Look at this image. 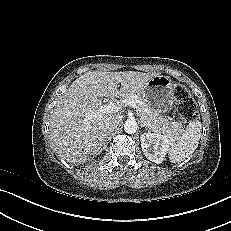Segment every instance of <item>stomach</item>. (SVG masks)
Here are the masks:
<instances>
[{
    "label": "stomach",
    "mask_w": 231,
    "mask_h": 231,
    "mask_svg": "<svg viewBox=\"0 0 231 231\" xmlns=\"http://www.w3.org/2000/svg\"><path fill=\"white\" fill-rule=\"evenodd\" d=\"M175 86L168 76L156 75L139 93L142 101L153 111L166 113L174 103Z\"/></svg>",
    "instance_id": "stomach-1"
}]
</instances>
